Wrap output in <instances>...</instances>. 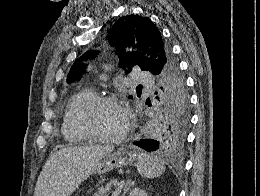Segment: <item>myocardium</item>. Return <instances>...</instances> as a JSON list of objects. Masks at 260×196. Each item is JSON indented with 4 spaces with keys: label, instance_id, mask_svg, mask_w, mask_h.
Here are the masks:
<instances>
[{
    "label": "myocardium",
    "instance_id": "f54148a6",
    "mask_svg": "<svg viewBox=\"0 0 260 196\" xmlns=\"http://www.w3.org/2000/svg\"><path fill=\"white\" fill-rule=\"evenodd\" d=\"M116 104L124 108L126 113V124L124 128L116 135L102 134L96 131L91 125V119L94 113L102 106ZM133 125V119L126 101L117 96H96L91 100L86 107L82 110L80 117L78 118V127L84 131L90 139L99 142H121L129 134Z\"/></svg>",
    "mask_w": 260,
    "mask_h": 196
}]
</instances>
